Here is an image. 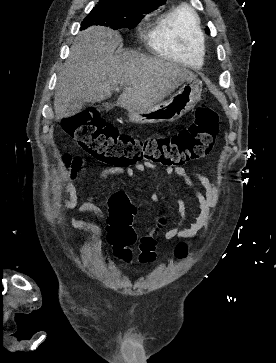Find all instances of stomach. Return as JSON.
Segmentation results:
<instances>
[{"mask_svg": "<svg viewBox=\"0 0 276 363\" xmlns=\"http://www.w3.org/2000/svg\"><path fill=\"white\" fill-rule=\"evenodd\" d=\"M201 93V81H186L169 100L146 109L128 110L129 120L139 124L173 122L196 106Z\"/></svg>", "mask_w": 276, "mask_h": 363, "instance_id": "stomach-1", "label": "stomach"}]
</instances>
